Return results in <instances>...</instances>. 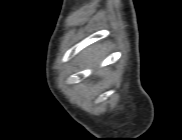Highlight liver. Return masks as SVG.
Segmentation results:
<instances>
[{
	"instance_id": "6515ba94",
	"label": "liver",
	"mask_w": 182,
	"mask_h": 140,
	"mask_svg": "<svg viewBox=\"0 0 182 140\" xmlns=\"http://www.w3.org/2000/svg\"><path fill=\"white\" fill-rule=\"evenodd\" d=\"M102 57V49L100 46L88 48L82 54V58L88 66H93L99 63Z\"/></svg>"
}]
</instances>
